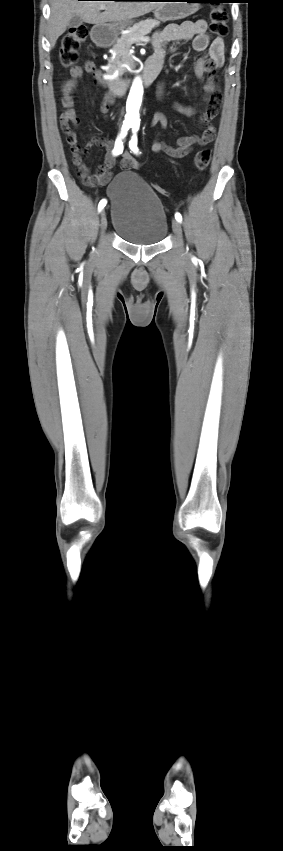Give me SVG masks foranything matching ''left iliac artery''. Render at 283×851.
<instances>
[{
    "mask_svg": "<svg viewBox=\"0 0 283 851\" xmlns=\"http://www.w3.org/2000/svg\"><path fill=\"white\" fill-rule=\"evenodd\" d=\"M131 127H132V131H133V136H132L131 140L129 141V147L135 154H137L139 152V149L137 147V142H138L137 131L139 129V124L135 123ZM175 218L178 222L182 221V216H181L180 213H176Z\"/></svg>",
    "mask_w": 283,
    "mask_h": 851,
    "instance_id": "left-iliac-artery-1",
    "label": "left iliac artery"
}]
</instances>
